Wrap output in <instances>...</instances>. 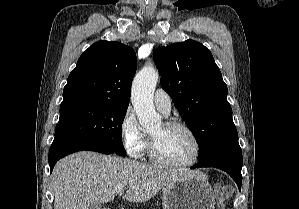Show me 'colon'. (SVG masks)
Masks as SVG:
<instances>
[{
	"instance_id": "5ec220e1",
	"label": "colon",
	"mask_w": 299,
	"mask_h": 209,
	"mask_svg": "<svg viewBox=\"0 0 299 209\" xmlns=\"http://www.w3.org/2000/svg\"><path fill=\"white\" fill-rule=\"evenodd\" d=\"M214 193L219 202V209H225V202L232 194L231 187L229 185L217 184L214 187Z\"/></svg>"
}]
</instances>
